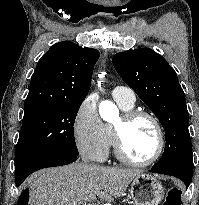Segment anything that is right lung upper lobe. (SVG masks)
Here are the masks:
<instances>
[{"instance_id": "obj_1", "label": "right lung upper lobe", "mask_w": 199, "mask_h": 205, "mask_svg": "<svg viewBox=\"0 0 199 205\" xmlns=\"http://www.w3.org/2000/svg\"><path fill=\"white\" fill-rule=\"evenodd\" d=\"M99 56L97 49L82 48L71 41L52 45L31 77L25 111L55 103L83 102Z\"/></svg>"}]
</instances>
